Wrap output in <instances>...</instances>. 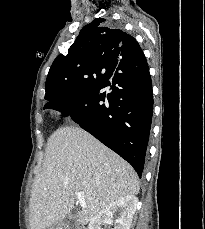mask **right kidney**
I'll use <instances>...</instances> for the list:
<instances>
[{
	"label": "right kidney",
	"mask_w": 205,
	"mask_h": 229,
	"mask_svg": "<svg viewBox=\"0 0 205 229\" xmlns=\"http://www.w3.org/2000/svg\"><path fill=\"white\" fill-rule=\"evenodd\" d=\"M137 205L138 199L135 196L119 198L92 218L88 229H102L103 225H113V221L114 229H130ZM116 213L118 216L114 220V214Z\"/></svg>",
	"instance_id": "1"
}]
</instances>
